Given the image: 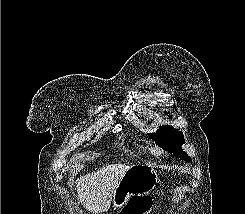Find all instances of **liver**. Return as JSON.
I'll list each match as a JSON object with an SVG mask.
<instances>
[{
  "mask_svg": "<svg viewBox=\"0 0 245 214\" xmlns=\"http://www.w3.org/2000/svg\"><path fill=\"white\" fill-rule=\"evenodd\" d=\"M131 166L111 164L96 172L82 175L76 181L78 199L87 211L100 214L107 211L119 181Z\"/></svg>",
  "mask_w": 245,
  "mask_h": 214,
  "instance_id": "liver-1",
  "label": "liver"
}]
</instances>
